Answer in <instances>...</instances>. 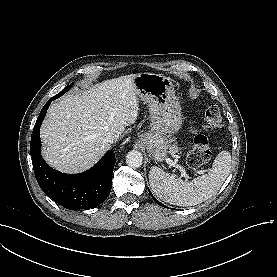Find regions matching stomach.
Returning <instances> with one entry per match:
<instances>
[{"label":"stomach","mask_w":277,"mask_h":277,"mask_svg":"<svg viewBox=\"0 0 277 277\" xmlns=\"http://www.w3.org/2000/svg\"><path fill=\"white\" fill-rule=\"evenodd\" d=\"M137 96L148 104L151 130L141 141L151 159L162 162L169 153L171 137L182 125L181 107L169 77L155 73H140L134 78Z\"/></svg>","instance_id":"1"}]
</instances>
